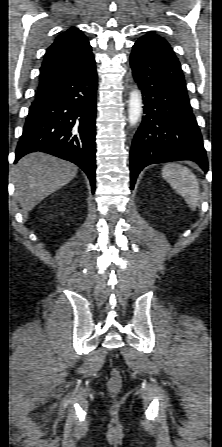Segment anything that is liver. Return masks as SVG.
Listing matches in <instances>:
<instances>
[{
	"label": "liver",
	"instance_id": "6515ba94",
	"mask_svg": "<svg viewBox=\"0 0 222 447\" xmlns=\"http://www.w3.org/2000/svg\"><path fill=\"white\" fill-rule=\"evenodd\" d=\"M77 174L73 163L45 153H31L13 170L15 197L25 213L47 196L68 184Z\"/></svg>",
	"mask_w": 222,
	"mask_h": 447
}]
</instances>
